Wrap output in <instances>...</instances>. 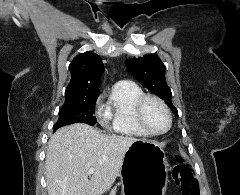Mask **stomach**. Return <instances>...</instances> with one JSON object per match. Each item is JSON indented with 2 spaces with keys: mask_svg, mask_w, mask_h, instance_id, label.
<instances>
[{
  "mask_svg": "<svg viewBox=\"0 0 240 195\" xmlns=\"http://www.w3.org/2000/svg\"><path fill=\"white\" fill-rule=\"evenodd\" d=\"M122 195H165L168 163L154 139H137L128 147L120 169Z\"/></svg>",
  "mask_w": 240,
  "mask_h": 195,
  "instance_id": "1",
  "label": "stomach"
}]
</instances>
